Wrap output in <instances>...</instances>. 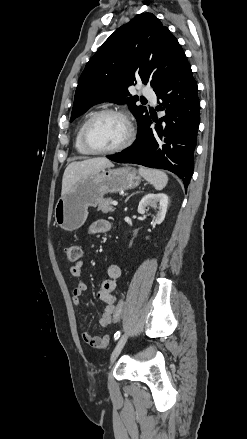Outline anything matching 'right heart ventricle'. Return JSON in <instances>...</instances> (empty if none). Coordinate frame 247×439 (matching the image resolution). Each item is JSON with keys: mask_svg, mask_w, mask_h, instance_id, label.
<instances>
[{"mask_svg": "<svg viewBox=\"0 0 247 439\" xmlns=\"http://www.w3.org/2000/svg\"><path fill=\"white\" fill-rule=\"evenodd\" d=\"M86 120H87V119H85V120L81 123V125H80L79 128H78V130L76 131L75 138H74V146H75V149L77 150V152H79L80 154H83V155H88V154H90V153L84 148V146L82 145V142H81V131H82V127H83V125H84V123H85Z\"/></svg>", "mask_w": 247, "mask_h": 439, "instance_id": "e07e8e85", "label": "right heart ventricle"}]
</instances>
